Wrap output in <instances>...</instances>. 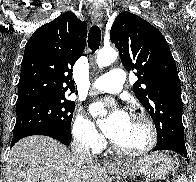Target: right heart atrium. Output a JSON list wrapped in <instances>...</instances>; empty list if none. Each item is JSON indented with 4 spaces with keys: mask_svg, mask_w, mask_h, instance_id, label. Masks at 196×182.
<instances>
[{
    "mask_svg": "<svg viewBox=\"0 0 196 182\" xmlns=\"http://www.w3.org/2000/svg\"><path fill=\"white\" fill-rule=\"evenodd\" d=\"M72 134L77 143L87 149L98 150L103 138L94 123L83 113H79L72 126Z\"/></svg>",
    "mask_w": 196,
    "mask_h": 182,
    "instance_id": "obj_1",
    "label": "right heart atrium"
}]
</instances>
